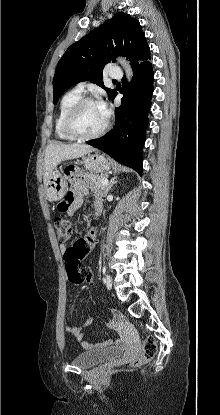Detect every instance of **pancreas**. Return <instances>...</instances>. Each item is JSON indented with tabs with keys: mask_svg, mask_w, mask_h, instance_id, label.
<instances>
[{
	"mask_svg": "<svg viewBox=\"0 0 220 415\" xmlns=\"http://www.w3.org/2000/svg\"><path fill=\"white\" fill-rule=\"evenodd\" d=\"M84 178L86 182L91 184L92 189H96V190L105 189V186L102 185L103 180L107 179V176L105 174L97 175V174L85 173Z\"/></svg>",
	"mask_w": 220,
	"mask_h": 415,
	"instance_id": "cf45deb5",
	"label": "pancreas"
}]
</instances>
